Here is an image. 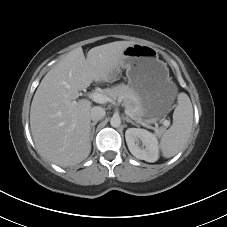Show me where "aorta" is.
<instances>
[{"label":"aorta","instance_id":"1","mask_svg":"<svg viewBox=\"0 0 227 227\" xmlns=\"http://www.w3.org/2000/svg\"><path fill=\"white\" fill-rule=\"evenodd\" d=\"M110 124L112 127H119L121 124V119L119 116H113L110 120Z\"/></svg>","mask_w":227,"mask_h":227}]
</instances>
